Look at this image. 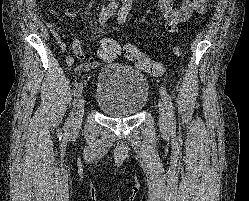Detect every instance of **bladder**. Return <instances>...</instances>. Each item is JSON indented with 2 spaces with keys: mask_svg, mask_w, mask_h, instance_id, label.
Wrapping results in <instances>:
<instances>
[{
  "mask_svg": "<svg viewBox=\"0 0 249 201\" xmlns=\"http://www.w3.org/2000/svg\"><path fill=\"white\" fill-rule=\"evenodd\" d=\"M149 91L150 85L143 72L111 61L98 74L95 104L108 117H132L147 105Z\"/></svg>",
  "mask_w": 249,
  "mask_h": 201,
  "instance_id": "obj_1",
  "label": "bladder"
}]
</instances>
